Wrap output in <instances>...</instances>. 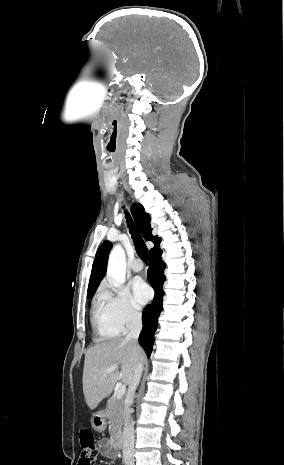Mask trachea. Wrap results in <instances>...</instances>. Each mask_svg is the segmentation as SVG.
Segmentation results:
<instances>
[{
  "label": "trachea",
  "mask_w": 284,
  "mask_h": 465,
  "mask_svg": "<svg viewBox=\"0 0 284 465\" xmlns=\"http://www.w3.org/2000/svg\"><path fill=\"white\" fill-rule=\"evenodd\" d=\"M126 220H127V224H128L130 233L132 235V239L134 241L136 252L139 255V257L143 260V262L148 264L147 247H146L141 235L137 231V228L135 227L134 222L132 221V219H131V217H130V215L128 213H126Z\"/></svg>",
  "instance_id": "obj_1"
}]
</instances>
